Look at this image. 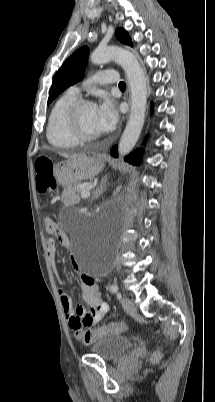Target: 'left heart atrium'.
<instances>
[{
    "label": "left heart atrium",
    "mask_w": 215,
    "mask_h": 402,
    "mask_svg": "<svg viewBox=\"0 0 215 402\" xmlns=\"http://www.w3.org/2000/svg\"><path fill=\"white\" fill-rule=\"evenodd\" d=\"M118 121V114L112 101L105 98L95 106V123L99 133L109 132L114 129Z\"/></svg>",
    "instance_id": "1"
}]
</instances>
